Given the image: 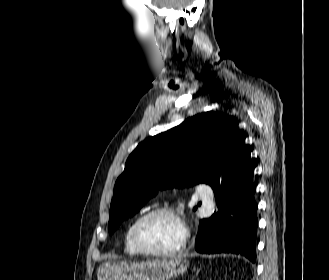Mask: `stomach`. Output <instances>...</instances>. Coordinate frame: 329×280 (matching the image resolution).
Wrapping results in <instances>:
<instances>
[{
    "label": "stomach",
    "mask_w": 329,
    "mask_h": 280,
    "mask_svg": "<svg viewBox=\"0 0 329 280\" xmlns=\"http://www.w3.org/2000/svg\"><path fill=\"white\" fill-rule=\"evenodd\" d=\"M188 261L182 258L142 262L112 261L100 265L98 280H170L183 275Z\"/></svg>",
    "instance_id": "0dacf381"
}]
</instances>
